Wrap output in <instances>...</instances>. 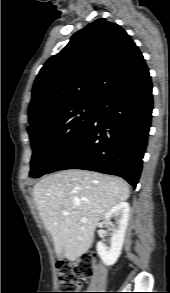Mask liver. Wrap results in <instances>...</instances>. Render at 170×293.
<instances>
[{
	"mask_svg": "<svg viewBox=\"0 0 170 293\" xmlns=\"http://www.w3.org/2000/svg\"><path fill=\"white\" fill-rule=\"evenodd\" d=\"M129 194L127 183L120 178L78 169L45 176L33 188L34 201L57 256L70 261L88 251L98 222Z\"/></svg>",
	"mask_w": 170,
	"mask_h": 293,
	"instance_id": "liver-1",
	"label": "liver"
}]
</instances>
